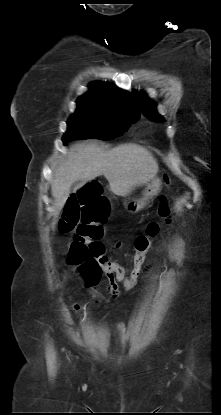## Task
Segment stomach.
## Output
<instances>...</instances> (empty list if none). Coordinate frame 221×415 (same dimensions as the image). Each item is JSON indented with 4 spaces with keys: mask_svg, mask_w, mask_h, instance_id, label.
I'll return each instance as SVG.
<instances>
[{
    "mask_svg": "<svg viewBox=\"0 0 221 415\" xmlns=\"http://www.w3.org/2000/svg\"><path fill=\"white\" fill-rule=\"evenodd\" d=\"M161 180L157 177H154L147 183V187L143 192V197L138 200L126 199L124 201L125 209L128 212L136 213L143 209L145 205L152 200L160 191Z\"/></svg>",
    "mask_w": 221,
    "mask_h": 415,
    "instance_id": "1",
    "label": "stomach"
}]
</instances>
